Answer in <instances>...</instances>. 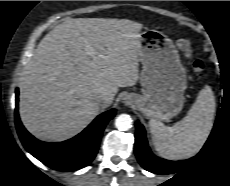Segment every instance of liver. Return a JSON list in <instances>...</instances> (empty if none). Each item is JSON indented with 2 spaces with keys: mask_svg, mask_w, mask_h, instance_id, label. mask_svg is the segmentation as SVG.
Wrapping results in <instances>:
<instances>
[{
  "mask_svg": "<svg viewBox=\"0 0 230 186\" xmlns=\"http://www.w3.org/2000/svg\"><path fill=\"white\" fill-rule=\"evenodd\" d=\"M142 24L127 19H67L39 43L21 78L19 113L42 141L80 133L111 105L119 87L139 79ZM87 45L95 55L88 54ZM108 104L100 105L99 96Z\"/></svg>",
  "mask_w": 230,
  "mask_h": 186,
  "instance_id": "1",
  "label": "liver"
}]
</instances>
